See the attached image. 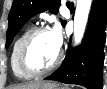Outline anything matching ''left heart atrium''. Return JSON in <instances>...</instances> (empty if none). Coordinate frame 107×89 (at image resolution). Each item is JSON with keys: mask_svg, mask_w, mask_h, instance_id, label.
Returning a JSON list of instances; mask_svg holds the SVG:
<instances>
[{"mask_svg": "<svg viewBox=\"0 0 107 89\" xmlns=\"http://www.w3.org/2000/svg\"><path fill=\"white\" fill-rule=\"evenodd\" d=\"M50 34L52 36V39L58 49L61 48L62 42H63V36L60 26L57 24L53 27V29L50 31Z\"/></svg>", "mask_w": 107, "mask_h": 89, "instance_id": "obj_1", "label": "left heart atrium"}]
</instances>
